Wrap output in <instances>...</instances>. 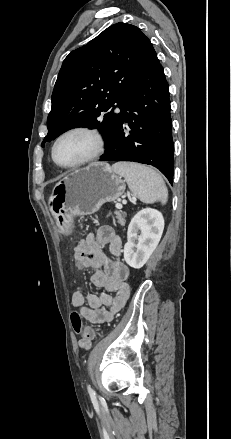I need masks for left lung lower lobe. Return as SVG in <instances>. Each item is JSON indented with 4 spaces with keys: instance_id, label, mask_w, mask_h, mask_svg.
I'll list each match as a JSON object with an SVG mask.
<instances>
[{
    "instance_id": "obj_1",
    "label": "left lung lower lobe",
    "mask_w": 231,
    "mask_h": 439,
    "mask_svg": "<svg viewBox=\"0 0 231 439\" xmlns=\"http://www.w3.org/2000/svg\"><path fill=\"white\" fill-rule=\"evenodd\" d=\"M169 87L153 49L120 108L100 161H133L159 169L173 183Z\"/></svg>"
}]
</instances>
